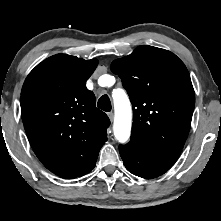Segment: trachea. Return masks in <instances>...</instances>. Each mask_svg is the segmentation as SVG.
Returning <instances> with one entry per match:
<instances>
[{"label": "trachea", "instance_id": "1", "mask_svg": "<svg viewBox=\"0 0 221 221\" xmlns=\"http://www.w3.org/2000/svg\"><path fill=\"white\" fill-rule=\"evenodd\" d=\"M97 107L102 109L103 111L109 112L111 111V102L108 95H103L100 97L97 103Z\"/></svg>", "mask_w": 221, "mask_h": 221}]
</instances>
